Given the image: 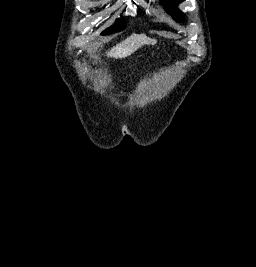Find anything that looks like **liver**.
<instances>
[{
    "mask_svg": "<svg viewBox=\"0 0 256 267\" xmlns=\"http://www.w3.org/2000/svg\"><path fill=\"white\" fill-rule=\"evenodd\" d=\"M150 46V44H157V40H151V38H147L145 34H131L129 38L120 42V44H116L113 46L109 52H107L108 58H127V56H131L134 52H137L141 46Z\"/></svg>",
    "mask_w": 256,
    "mask_h": 267,
    "instance_id": "liver-1",
    "label": "liver"
}]
</instances>
